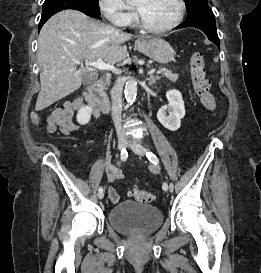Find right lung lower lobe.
Instances as JSON below:
<instances>
[{
    "label": "right lung lower lobe",
    "instance_id": "1",
    "mask_svg": "<svg viewBox=\"0 0 261 273\" xmlns=\"http://www.w3.org/2000/svg\"><path fill=\"white\" fill-rule=\"evenodd\" d=\"M69 9H75V10H79L83 13H85L86 15L90 16V17H94V18H98L100 19V12H96L92 9H90L83 0H71L70 5H69ZM54 15V14H53ZM52 15H47L44 16L42 15L40 23H39V30L41 29V27L43 26V24L51 17Z\"/></svg>",
    "mask_w": 261,
    "mask_h": 273
}]
</instances>
